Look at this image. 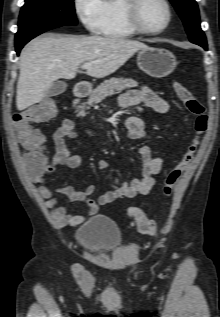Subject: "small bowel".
<instances>
[{"mask_svg": "<svg viewBox=\"0 0 220 317\" xmlns=\"http://www.w3.org/2000/svg\"><path fill=\"white\" fill-rule=\"evenodd\" d=\"M121 107L146 105L159 114H165L168 111V103L165 99L155 93L147 86L138 89H132L122 94L119 99ZM74 122L71 119H65L62 124L53 133L55 154L52 160L45 164L41 170H36L24 165L28 170L31 181L37 186L38 194L45 200L46 206L51 209V217L57 227L68 225H78L88 217L98 212L101 206L107 205L121 198H133L137 195L148 194L155 185L154 177L160 172L162 160L152 155L148 146L143 145L138 153L142 162V172L140 178L133 179L130 183L121 182L117 179L112 184V190L102 194L97 200L91 196L95 193V186L91 185L83 190L75 189L71 186H62L59 191L63 193L70 201L81 202L86 211L83 215H74L68 212L65 206H58L57 199L53 196L52 188L46 186V176L56 170L58 166L68 168H77L81 164V158L69 152L65 144V138L75 139L77 133L74 129ZM126 128L129 138L142 139L146 136V126L144 121L136 115L129 116L126 120ZM91 135L95 132L90 130ZM97 166L100 170L109 167V162L105 159L98 161Z\"/></svg>", "mask_w": 220, "mask_h": 317, "instance_id": "small-bowel-1", "label": "small bowel"}]
</instances>
